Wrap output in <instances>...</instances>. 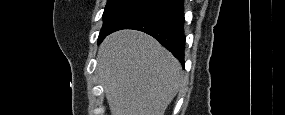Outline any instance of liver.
I'll list each match as a JSON object with an SVG mask.
<instances>
[{
    "mask_svg": "<svg viewBox=\"0 0 285 115\" xmlns=\"http://www.w3.org/2000/svg\"><path fill=\"white\" fill-rule=\"evenodd\" d=\"M97 72L111 115H164L183 80L178 60L135 30L115 32L103 41Z\"/></svg>",
    "mask_w": 285,
    "mask_h": 115,
    "instance_id": "obj_1",
    "label": "liver"
}]
</instances>
